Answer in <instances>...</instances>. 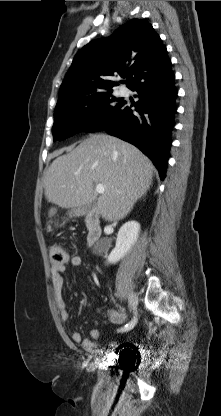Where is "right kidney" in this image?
I'll return each mask as SVG.
<instances>
[{"instance_id":"ca27d5eb","label":"right kidney","mask_w":221,"mask_h":416,"mask_svg":"<svg viewBox=\"0 0 221 416\" xmlns=\"http://www.w3.org/2000/svg\"><path fill=\"white\" fill-rule=\"evenodd\" d=\"M140 224L137 221H128L119 229L115 248L107 258L108 263L115 264L122 259L137 241Z\"/></svg>"}]
</instances>
